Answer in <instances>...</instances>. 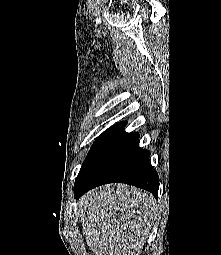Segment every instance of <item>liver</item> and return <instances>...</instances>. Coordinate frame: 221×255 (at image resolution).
<instances>
[{
	"mask_svg": "<svg viewBox=\"0 0 221 255\" xmlns=\"http://www.w3.org/2000/svg\"><path fill=\"white\" fill-rule=\"evenodd\" d=\"M77 212L94 255H139L159 208L150 193L118 183L86 193Z\"/></svg>",
	"mask_w": 221,
	"mask_h": 255,
	"instance_id": "obj_1",
	"label": "liver"
}]
</instances>
